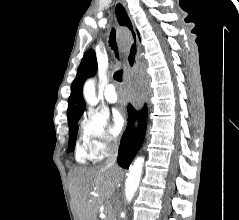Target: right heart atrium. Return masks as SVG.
Returning <instances> with one entry per match:
<instances>
[{"mask_svg": "<svg viewBox=\"0 0 239 220\" xmlns=\"http://www.w3.org/2000/svg\"><path fill=\"white\" fill-rule=\"evenodd\" d=\"M80 138L92 159H101L116 147V139L108 131V118L102 112L89 108L79 124Z\"/></svg>", "mask_w": 239, "mask_h": 220, "instance_id": "1", "label": "right heart atrium"}]
</instances>
